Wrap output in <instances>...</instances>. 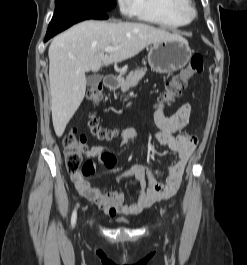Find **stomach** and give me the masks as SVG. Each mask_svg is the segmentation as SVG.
I'll return each mask as SVG.
<instances>
[{"instance_id":"1","label":"stomach","mask_w":247,"mask_h":265,"mask_svg":"<svg viewBox=\"0 0 247 265\" xmlns=\"http://www.w3.org/2000/svg\"><path fill=\"white\" fill-rule=\"evenodd\" d=\"M191 49L184 39H171L153 44L148 54L151 69L159 73H173L186 66Z\"/></svg>"}]
</instances>
